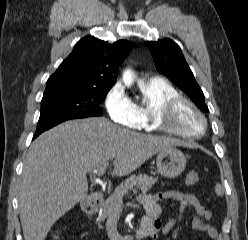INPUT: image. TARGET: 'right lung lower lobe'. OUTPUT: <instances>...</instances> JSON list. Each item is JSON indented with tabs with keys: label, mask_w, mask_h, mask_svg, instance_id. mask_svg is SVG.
I'll return each instance as SVG.
<instances>
[{
	"label": "right lung lower lobe",
	"mask_w": 248,
	"mask_h": 240,
	"mask_svg": "<svg viewBox=\"0 0 248 240\" xmlns=\"http://www.w3.org/2000/svg\"><path fill=\"white\" fill-rule=\"evenodd\" d=\"M65 120H49V121H38L36 132L33 136V139H35L38 135H40L42 132L56 126L57 124L63 122Z\"/></svg>",
	"instance_id": "obj_1"
}]
</instances>
